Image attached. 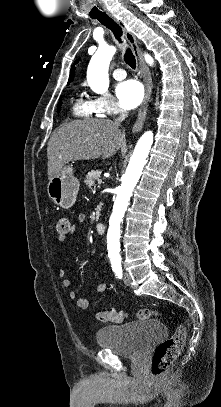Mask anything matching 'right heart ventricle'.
I'll list each match as a JSON object with an SVG mask.
<instances>
[{"label":"right heart ventricle","instance_id":"right-heart-ventricle-1","mask_svg":"<svg viewBox=\"0 0 221 407\" xmlns=\"http://www.w3.org/2000/svg\"><path fill=\"white\" fill-rule=\"evenodd\" d=\"M71 110L76 117L92 118L96 114L92 102L86 100L81 94L74 98Z\"/></svg>","mask_w":221,"mask_h":407}]
</instances>
